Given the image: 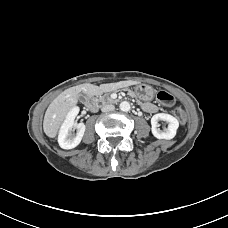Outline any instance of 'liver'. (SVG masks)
Returning <instances> with one entry per match:
<instances>
[{
    "instance_id": "1",
    "label": "liver",
    "mask_w": 228,
    "mask_h": 228,
    "mask_svg": "<svg viewBox=\"0 0 228 228\" xmlns=\"http://www.w3.org/2000/svg\"><path fill=\"white\" fill-rule=\"evenodd\" d=\"M136 81L118 82L108 85L96 86L90 83L77 85L66 89L60 93L48 106L44 121L43 130L49 138H55L64 123L68 113L76 106L79 100L80 93L87 96H94L103 93L104 91L112 90L123 85H135Z\"/></svg>"
}]
</instances>
